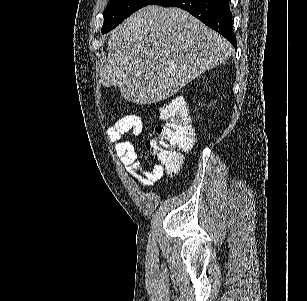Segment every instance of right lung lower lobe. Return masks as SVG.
Segmentation results:
<instances>
[{
  "instance_id": "right-lung-lower-lobe-1",
  "label": "right lung lower lobe",
  "mask_w": 307,
  "mask_h": 301,
  "mask_svg": "<svg viewBox=\"0 0 307 301\" xmlns=\"http://www.w3.org/2000/svg\"><path fill=\"white\" fill-rule=\"evenodd\" d=\"M229 0H155L163 7H179L198 18L208 27L224 36L235 48L236 39L232 27Z\"/></svg>"
}]
</instances>
